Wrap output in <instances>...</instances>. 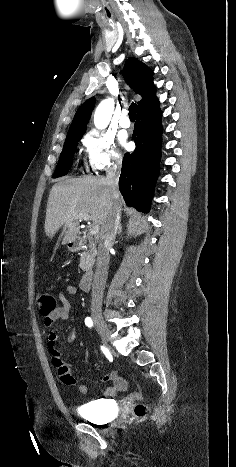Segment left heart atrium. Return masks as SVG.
Returning a JSON list of instances; mask_svg holds the SVG:
<instances>
[{
    "instance_id": "left-heart-atrium-1",
    "label": "left heart atrium",
    "mask_w": 236,
    "mask_h": 467,
    "mask_svg": "<svg viewBox=\"0 0 236 467\" xmlns=\"http://www.w3.org/2000/svg\"><path fill=\"white\" fill-rule=\"evenodd\" d=\"M120 140H121V142H122L123 144H126V140H125V137H124V136H121Z\"/></svg>"
}]
</instances>
